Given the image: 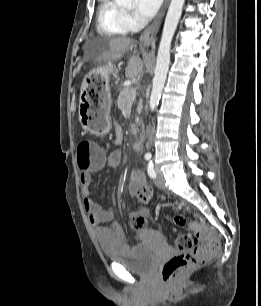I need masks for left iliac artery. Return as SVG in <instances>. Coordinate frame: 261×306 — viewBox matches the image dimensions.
Instances as JSON below:
<instances>
[{"instance_id":"obj_1","label":"left iliac artery","mask_w":261,"mask_h":306,"mask_svg":"<svg viewBox=\"0 0 261 306\" xmlns=\"http://www.w3.org/2000/svg\"><path fill=\"white\" fill-rule=\"evenodd\" d=\"M147 170H148V175L151 177V178H156V172L154 170V164L152 161H150L148 163V166H147Z\"/></svg>"}]
</instances>
